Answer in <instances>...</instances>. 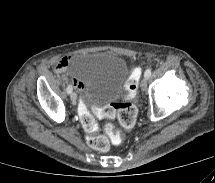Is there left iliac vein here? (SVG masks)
I'll list each match as a JSON object with an SVG mask.
<instances>
[{
	"label": "left iliac vein",
	"instance_id": "1",
	"mask_svg": "<svg viewBox=\"0 0 215 183\" xmlns=\"http://www.w3.org/2000/svg\"><path fill=\"white\" fill-rule=\"evenodd\" d=\"M147 81H148V78L147 77H144L141 81V89L142 90H145L146 87H147Z\"/></svg>",
	"mask_w": 215,
	"mask_h": 183
}]
</instances>
